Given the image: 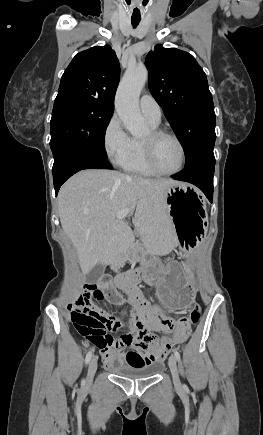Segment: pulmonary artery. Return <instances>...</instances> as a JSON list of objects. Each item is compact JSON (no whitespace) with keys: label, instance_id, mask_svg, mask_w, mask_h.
Wrapping results in <instances>:
<instances>
[{"label":"pulmonary artery","instance_id":"obj_1","mask_svg":"<svg viewBox=\"0 0 263 435\" xmlns=\"http://www.w3.org/2000/svg\"><path fill=\"white\" fill-rule=\"evenodd\" d=\"M140 110L151 122L159 124L162 111L157 101L149 94H144L140 99Z\"/></svg>","mask_w":263,"mask_h":435}]
</instances>
